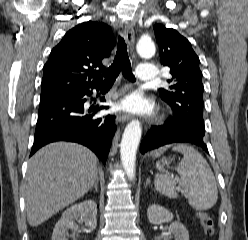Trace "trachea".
<instances>
[{"label":"trachea","instance_id":"trachea-1","mask_svg":"<svg viewBox=\"0 0 248 240\" xmlns=\"http://www.w3.org/2000/svg\"><path fill=\"white\" fill-rule=\"evenodd\" d=\"M121 71L125 78L130 81H135L129 56L127 53V45L125 43V40L121 36H119L116 56L111 66L103 73V76L105 78L103 84L105 85L114 83Z\"/></svg>","mask_w":248,"mask_h":240}]
</instances>
